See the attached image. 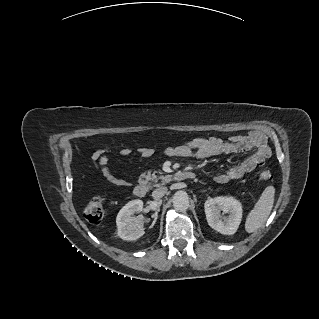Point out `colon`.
Wrapping results in <instances>:
<instances>
[{
	"mask_svg": "<svg viewBox=\"0 0 319 319\" xmlns=\"http://www.w3.org/2000/svg\"><path fill=\"white\" fill-rule=\"evenodd\" d=\"M266 155L270 154V151L266 149ZM259 177L262 180H271L272 173L269 170H263L260 172ZM83 215L85 219L91 224H99L104 217V205L100 197H93L84 207Z\"/></svg>",
	"mask_w": 319,
	"mask_h": 319,
	"instance_id": "5ec220e1",
	"label": "colon"
}]
</instances>
